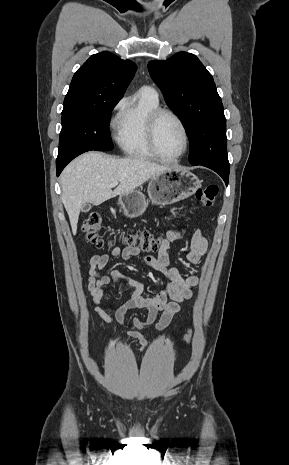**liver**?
Returning <instances> with one entry per match:
<instances>
[{"label": "liver", "instance_id": "6515ba94", "mask_svg": "<svg viewBox=\"0 0 289 465\" xmlns=\"http://www.w3.org/2000/svg\"><path fill=\"white\" fill-rule=\"evenodd\" d=\"M169 168L144 159H117L98 152L77 157L61 174V199L72 233H77L80 210L85 203L97 206L117 195L128 194ZM113 182L119 185L112 191Z\"/></svg>", "mask_w": 289, "mask_h": 465}]
</instances>
